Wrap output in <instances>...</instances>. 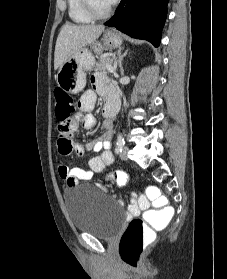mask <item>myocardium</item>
Segmentation results:
<instances>
[{"instance_id": "myocardium-1", "label": "myocardium", "mask_w": 227, "mask_h": 279, "mask_svg": "<svg viewBox=\"0 0 227 279\" xmlns=\"http://www.w3.org/2000/svg\"><path fill=\"white\" fill-rule=\"evenodd\" d=\"M80 2H81V5H82L84 11L92 19L107 18L111 14L112 9H113V3H112L106 11L100 13V12L96 11V9L93 7L91 0H80Z\"/></svg>"}]
</instances>
